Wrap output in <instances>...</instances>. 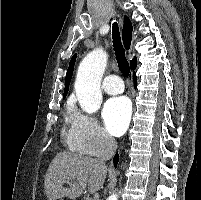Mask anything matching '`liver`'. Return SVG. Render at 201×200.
I'll list each match as a JSON object with an SVG mask.
<instances>
[{
  "mask_svg": "<svg viewBox=\"0 0 201 200\" xmlns=\"http://www.w3.org/2000/svg\"><path fill=\"white\" fill-rule=\"evenodd\" d=\"M107 168L97 159L70 152L58 153L50 163L45 175L44 187L48 200L63 197L76 199L88 186L90 193L98 191L105 182ZM64 183L69 188L63 187Z\"/></svg>",
  "mask_w": 201,
  "mask_h": 200,
  "instance_id": "1",
  "label": "liver"
}]
</instances>
